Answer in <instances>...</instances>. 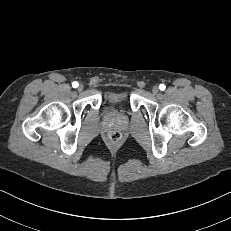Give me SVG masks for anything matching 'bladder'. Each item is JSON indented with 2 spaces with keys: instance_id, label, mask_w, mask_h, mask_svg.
I'll return each mask as SVG.
<instances>
[{
  "instance_id": "1",
  "label": "bladder",
  "mask_w": 231,
  "mask_h": 231,
  "mask_svg": "<svg viewBox=\"0 0 231 231\" xmlns=\"http://www.w3.org/2000/svg\"><path fill=\"white\" fill-rule=\"evenodd\" d=\"M129 97V94L125 91L122 92H110L106 94L105 99L110 103L125 102Z\"/></svg>"
}]
</instances>
